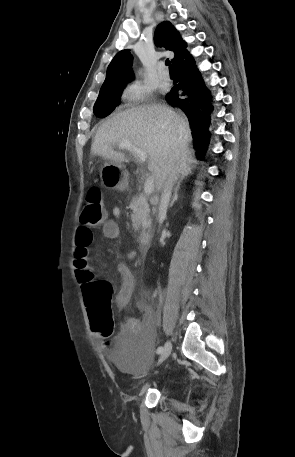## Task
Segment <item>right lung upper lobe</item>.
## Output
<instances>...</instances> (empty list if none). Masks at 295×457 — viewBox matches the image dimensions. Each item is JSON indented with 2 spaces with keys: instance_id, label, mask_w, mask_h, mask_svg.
<instances>
[{
  "instance_id": "cb5924a9",
  "label": "right lung upper lobe",
  "mask_w": 295,
  "mask_h": 457,
  "mask_svg": "<svg viewBox=\"0 0 295 457\" xmlns=\"http://www.w3.org/2000/svg\"><path fill=\"white\" fill-rule=\"evenodd\" d=\"M154 41L157 46H163L174 52L175 57L172 59V63L186 51V43L168 21L162 22L157 26ZM132 63L133 57L128 49L117 53L108 66L106 79L100 91L112 90L132 81L134 78Z\"/></svg>"
}]
</instances>
